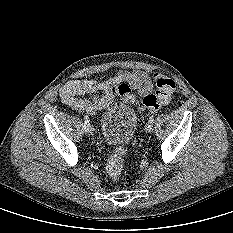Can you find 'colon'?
<instances>
[{
	"instance_id": "colon-1",
	"label": "colon",
	"mask_w": 233,
	"mask_h": 233,
	"mask_svg": "<svg viewBox=\"0 0 233 233\" xmlns=\"http://www.w3.org/2000/svg\"><path fill=\"white\" fill-rule=\"evenodd\" d=\"M156 90L153 94L147 95L141 102H137L130 93L126 96L128 100L138 105L140 109L155 111L161 106L167 104L175 90V82L162 75L155 74ZM126 148L123 146L116 147L107 160L106 170L113 180H118L123 170V159L126 154Z\"/></svg>"
}]
</instances>
